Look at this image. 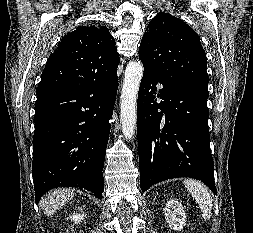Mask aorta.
Listing matches in <instances>:
<instances>
[{
  "mask_svg": "<svg viewBox=\"0 0 253 233\" xmlns=\"http://www.w3.org/2000/svg\"><path fill=\"white\" fill-rule=\"evenodd\" d=\"M143 70V65L139 60L130 61L125 70L120 97V120L122 133L127 140H131L135 135L137 95Z\"/></svg>",
  "mask_w": 253,
  "mask_h": 233,
  "instance_id": "obj_1",
  "label": "aorta"
}]
</instances>
